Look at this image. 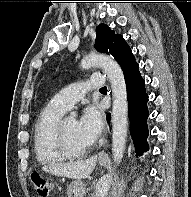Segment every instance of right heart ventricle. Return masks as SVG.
Here are the masks:
<instances>
[{"label":"right heart ventricle","mask_w":191,"mask_h":197,"mask_svg":"<svg viewBox=\"0 0 191 197\" xmlns=\"http://www.w3.org/2000/svg\"><path fill=\"white\" fill-rule=\"evenodd\" d=\"M66 111L50 101L40 112L34 126L33 148L36 159L43 165H54L67 158L55 141V130Z\"/></svg>","instance_id":"1"}]
</instances>
